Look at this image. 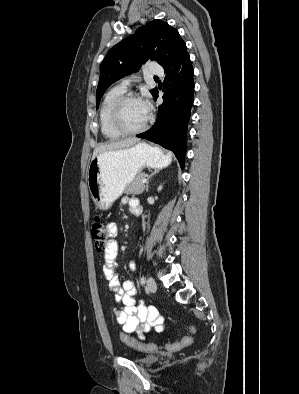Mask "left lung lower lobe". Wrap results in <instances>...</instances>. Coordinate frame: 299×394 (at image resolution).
Listing matches in <instances>:
<instances>
[{"label":"left lung lower lobe","instance_id":"obj_1","mask_svg":"<svg viewBox=\"0 0 299 394\" xmlns=\"http://www.w3.org/2000/svg\"><path fill=\"white\" fill-rule=\"evenodd\" d=\"M163 103L158 108L155 124L137 137L160 144L172 150L181 168L186 152L187 123L193 105V67L186 45L176 59L164 68ZM156 100L158 90L153 95Z\"/></svg>","mask_w":299,"mask_h":394}]
</instances>
